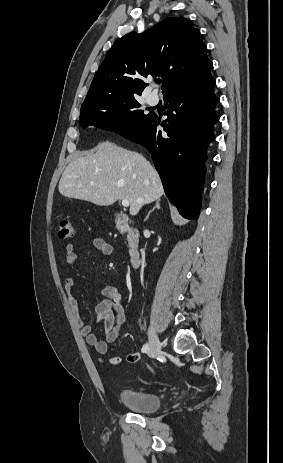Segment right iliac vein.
<instances>
[{
	"mask_svg": "<svg viewBox=\"0 0 283 463\" xmlns=\"http://www.w3.org/2000/svg\"><path fill=\"white\" fill-rule=\"evenodd\" d=\"M160 341L157 333L153 327L149 329V352L152 356H156L160 353Z\"/></svg>",
	"mask_w": 283,
	"mask_h": 463,
	"instance_id": "obj_1",
	"label": "right iliac vein"
}]
</instances>
